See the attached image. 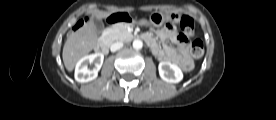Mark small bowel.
Listing matches in <instances>:
<instances>
[{"instance_id": "1", "label": "small bowel", "mask_w": 276, "mask_h": 120, "mask_svg": "<svg viewBox=\"0 0 276 120\" xmlns=\"http://www.w3.org/2000/svg\"><path fill=\"white\" fill-rule=\"evenodd\" d=\"M144 34L149 38L147 44L157 59L175 63L186 72L193 68V61L188 53L187 38L179 34L174 28L164 27L156 31L157 37L163 42L162 46L153 34ZM168 41L172 42L175 48L169 45Z\"/></svg>"}]
</instances>
